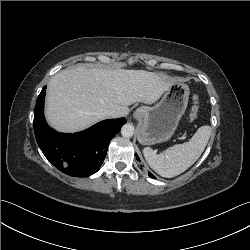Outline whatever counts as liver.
Returning <instances> with one entry per match:
<instances>
[{
  "label": "liver",
  "mask_w": 250,
  "mask_h": 250,
  "mask_svg": "<svg viewBox=\"0 0 250 250\" xmlns=\"http://www.w3.org/2000/svg\"><path fill=\"white\" fill-rule=\"evenodd\" d=\"M177 79L145 70L99 69L79 65L48 83L45 115L58 131L75 132L106 119V112L129 113L136 102L155 103Z\"/></svg>",
  "instance_id": "6515ba94"
}]
</instances>
